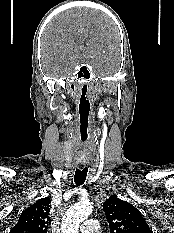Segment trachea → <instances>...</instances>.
Segmentation results:
<instances>
[{
    "label": "trachea",
    "instance_id": "1",
    "mask_svg": "<svg viewBox=\"0 0 174 233\" xmlns=\"http://www.w3.org/2000/svg\"><path fill=\"white\" fill-rule=\"evenodd\" d=\"M88 168L78 169L76 168L74 182L76 185H82L87 177Z\"/></svg>",
    "mask_w": 174,
    "mask_h": 233
}]
</instances>
